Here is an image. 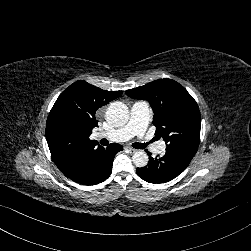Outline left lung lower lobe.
<instances>
[{"label": "left lung lower lobe", "instance_id": "obj_1", "mask_svg": "<svg viewBox=\"0 0 251 251\" xmlns=\"http://www.w3.org/2000/svg\"><path fill=\"white\" fill-rule=\"evenodd\" d=\"M149 155V163L142 168H137V174L143 180L149 183H165L179 174L189 165L195 154L186 152L176 148H166L163 156L151 157Z\"/></svg>", "mask_w": 251, "mask_h": 251}]
</instances>
